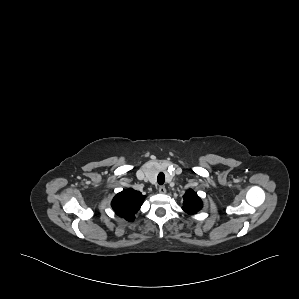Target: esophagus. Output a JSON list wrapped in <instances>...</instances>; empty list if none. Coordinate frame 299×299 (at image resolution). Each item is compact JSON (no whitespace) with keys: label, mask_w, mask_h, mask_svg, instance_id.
I'll use <instances>...</instances> for the list:
<instances>
[{"label":"esophagus","mask_w":299,"mask_h":299,"mask_svg":"<svg viewBox=\"0 0 299 299\" xmlns=\"http://www.w3.org/2000/svg\"><path fill=\"white\" fill-rule=\"evenodd\" d=\"M158 191H159V193H161V194H165V193H166V188H165L164 186H159V187H158Z\"/></svg>","instance_id":"obj_1"}]
</instances>
